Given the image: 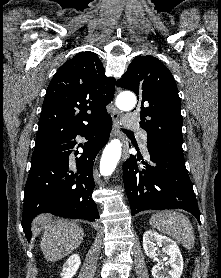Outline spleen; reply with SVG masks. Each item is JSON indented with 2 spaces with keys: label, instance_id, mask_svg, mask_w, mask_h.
<instances>
[{
  "label": "spleen",
  "instance_id": "3e777b00",
  "mask_svg": "<svg viewBox=\"0 0 221 278\" xmlns=\"http://www.w3.org/2000/svg\"><path fill=\"white\" fill-rule=\"evenodd\" d=\"M150 225L158 231L171 236L186 249L194 246V232L189 219L176 211H161L153 214Z\"/></svg>",
  "mask_w": 221,
  "mask_h": 278
}]
</instances>
